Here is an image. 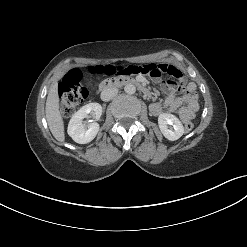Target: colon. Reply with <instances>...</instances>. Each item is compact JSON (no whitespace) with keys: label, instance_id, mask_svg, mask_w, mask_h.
Wrapping results in <instances>:
<instances>
[{"label":"colon","instance_id":"1","mask_svg":"<svg viewBox=\"0 0 247 247\" xmlns=\"http://www.w3.org/2000/svg\"><path fill=\"white\" fill-rule=\"evenodd\" d=\"M127 66H96L89 68L90 74L116 75L129 68ZM84 72L79 69H71L59 85L60 110L66 117L71 116L87 98L88 90L84 82ZM195 128L193 122L185 124V130L191 132Z\"/></svg>","mask_w":247,"mask_h":247}]
</instances>
